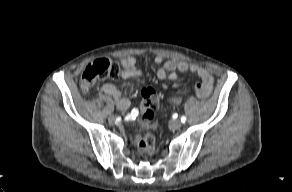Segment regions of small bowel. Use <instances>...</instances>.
Returning <instances> with one entry per match:
<instances>
[{
  "mask_svg": "<svg viewBox=\"0 0 292 192\" xmlns=\"http://www.w3.org/2000/svg\"><path fill=\"white\" fill-rule=\"evenodd\" d=\"M154 63L157 67V77L160 80L170 79L176 81L178 79L177 72L190 71L197 74L201 79V84L195 85V91L198 97L204 99L212 90L213 77L206 68L184 61H164L160 56L155 57ZM119 66L122 69V76L124 77L140 78L142 76V71L137 67V60L134 57L121 59ZM101 91L111 96L119 109L126 110L129 108L131 103L126 93L121 92L114 85L106 83L102 85ZM169 102L174 105H179L182 102V96L180 94L173 96L169 99ZM160 121L162 123L158 125V128L163 130L165 128L163 123L167 121V118L162 116Z\"/></svg>",
  "mask_w": 292,
  "mask_h": 192,
  "instance_id": "1",
  "label": "small bowel"
}]
</instances>
